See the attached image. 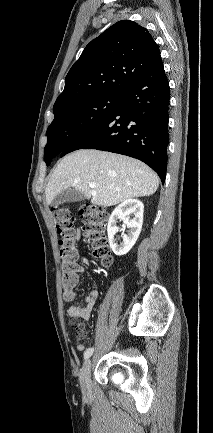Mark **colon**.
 <instances>
[{"label":"colon","mask_w":213,"mask_h":433,"mask_svg":"<svg viewBox=\"0 0 213 433\" xmlns=\"http://www.w3.org/2000/svg\"><path fill=\"white\" fill-rule=\"evenodd\" d=\"M83 220V232L86 242L92 249L95 258L105 266L112 262L110 248L106 238L108 213L104 207L86 203L81 208ZM53 222L59 237V254L61 258L62 286L64 300L72 302L75 299L74 287L77 283L76 258L77 251L74 241L75 218L67 207H60L52 213ZM70 326L80 338L83 333V325L78 318L72 317Z\"/></svg>","instance_id":"obj_1"}]
</instances>
